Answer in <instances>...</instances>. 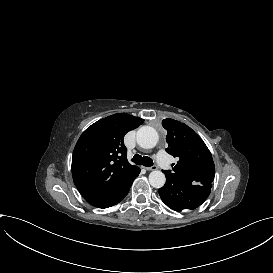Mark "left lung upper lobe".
<instances>
[{
    "label": "left lung upper lobe",
    "mask_w": 273,
    "mask_h": 273,
    "mask_svg": "<svg viewBox=\"0 0 273 273\" xmlns=\"http://www.w3.org/2000/svg\"><path fill=\"white\" fill-rule=\"evenodd\" d=\"M162 126L167 130L166 152L179 161L172 164V171L164 174L200 185H211L215 166L212 155L203 140L187 125L173 119H164Z\"/></svg>",
    "instance_id": "left-lung-upper-lobe-1"
}]
</instances>
